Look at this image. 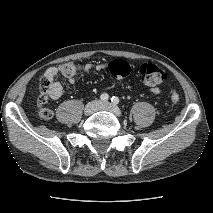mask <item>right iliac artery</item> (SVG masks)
Returning a JSON list of instances; mask_svg holds the SVG:
<instances>
[{
	"instance_id": "obj_1",
	"label": "right iliac artery",
	"mask_w": 213,
	"mask_h": 213,
	"mask_svg": "<svg viewBox=\"0 0 213 213\" xmlns=\"http://www.w3.org/2000/svg\"><path fill=\"white\" fill-rule=\"evenodd\" d=\"M109 98V95L107 93H103L100 96L101 101L106 102Z\"/></svg>"
}]
</instances>
